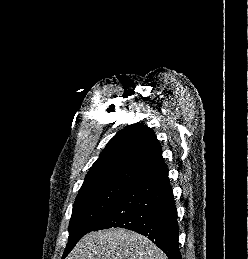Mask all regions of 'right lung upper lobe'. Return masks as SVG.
Instances as JSON below:
<instances>
[{"label":"right lung upper lobe","mask_w":248,"mask_h":259,"mask_svg":"<svg viewBox=\"0 0 248 259\" xmlns=\"http://www.w3.org/2000/svg\"><path fill=\"white\" fill-rule=\"evenodd\" d=\"M167 168L153 130L133 124L119 131L90 168L82 185L110 181L134 184L145 176Z\"/></svg>","instance_id":"obj_1"}]
</instances>
